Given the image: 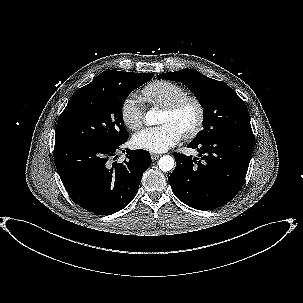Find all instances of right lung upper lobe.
I'll return each instance as SVG.
<instances>
[{
  "label": "right lung upper lobe",
  "instance_id": "1",
  "mask_svg": "<svg viewBox=\"0 0 303 303\" xmlns=\"http://www.w3.org/2000/svg\"><path fill=\"white\" fill-rule=\"evenodd\" d=\"M130 72H119V71H113V70H108L105 72H102L101 74H99L95 79H98L101 76H106V75H110V76H124V75H128Z\"/></svg>",
  "mask_w": 303,
  "mask_h": 303
}]
</instances>
